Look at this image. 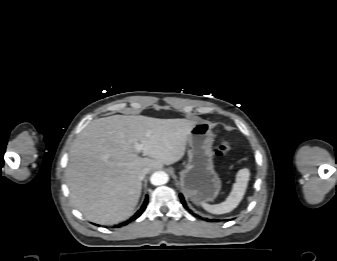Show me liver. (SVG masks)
<instances>
[{
    "mask_svg": "<svg viewBox=\"0 0 337 261\" xmlns=\"http://www.w3.org/2000/svg\"><path fill=\"white\" fill-rule=\"evenodd\" d=\"M197 122L142 115H113L90 122L71 146L65 173L75 208L97 224L126 220L141 195L139 172L182 159ZM136 144L146 157L138 155Z\"/></svg>",
    "mask_w": 337,
    "mask_h": 261,
    "instance_id": "6515ba94",
    "label": "liver"
}]
</instances>
